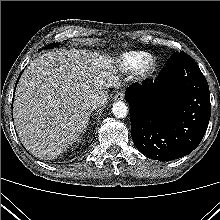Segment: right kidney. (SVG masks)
Masks as SVG:
<instances>
[{
    "label": "right kidney",
    "instance_id": "1",
    "mask_svg": "<svg viewBox=\"0 0 220 220\" xmlns=\"http://www.w3.org/2000/svg\"><path fill=\"white\" fill-rule=\"evenodd\" d=\"M79 140H81V139L77 138V140H76V141H77V142H80Z\"/></svg>",
    "mask_w": 220,
    "mask_h": 220
}]
</instances>
